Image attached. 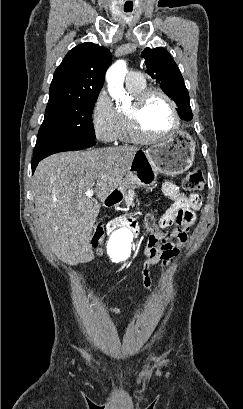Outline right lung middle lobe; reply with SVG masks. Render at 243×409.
Masks as SVG:
<instances>
[{
  "instance_id": "right-lung-middle-lobe-1",
  "label": "right lung middle lobe",
  "mask_w": 243,
  "mask_h": 409,
  "mask_svg": "<svg viewBox=\"0 0 243 409\" xmlns=\"http://www.w3.org/2000/svg\"><path fill=\"white\" fill-rule=\"evenodd\" d=\"M97 99L48 102L38 138L95 139L92 110Z\"/></svg>"
}]
</instances>
